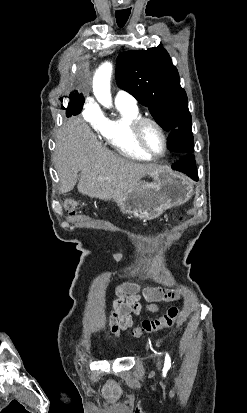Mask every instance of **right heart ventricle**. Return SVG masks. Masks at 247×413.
Wrapping results in <instances>:
<instances>
[{"label":"right heart ventricle","instance_id":"right-heart-ventricle-1","mask_svg":"<svg viewBox=\"0 0 247 413\" xmlns=\"http://www.w3.org/2000/svg\"><path fill=\"white\" fill-rule=\"evenodd\" d=\"M118 106L123 110V115L119 120L108 123L105 126L103 136L107 142L118 153L129 159L137 161H150L152 158L143 153L134 143L132 138V129L140 118L135 112L128 111L123 105Z\"/></svg>","mask_w":247,"mask_h":413}]
</instances>
